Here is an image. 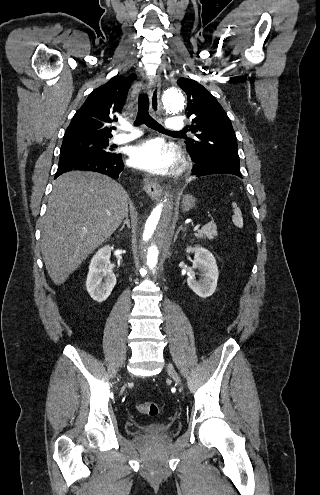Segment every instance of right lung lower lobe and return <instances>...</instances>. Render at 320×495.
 Instances as JSON below:
<instances>
[{
	"label": "right lung lower lobe",
	"mask_w": 320,
	"mask_h": 495,
	"mask_svg": "<svg viewBox=\"0 0 320 495\" xmlns=\"http://www.w3.org/2000/svg\"><path fill=\"white\" fill-rule=\"evenodd\" d=\"M123 168L121 154L110 153L104 156L87 154L61 155L54 178L68 171L86 170L99 172L117 179Z\"/></svg>",
	"instance_id": "right-lung-lower-lobe-1"
}]
</instances>
